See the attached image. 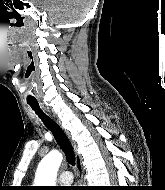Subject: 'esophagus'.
Here are the masks:
<instances>
[{
	"label": "esophagus",
	"mask_w": 165,
	"mask_h": 190,
	"mask_svg": "<svg viewBox=\"0 0 165 190\" xmlns=\"http://www.w3.org/2000/svg\"><path fill=\"white\" fill-rule=\"evenodd\" d=\"M76 165H77V172H78V180L80 183L83 181V167L81 157L76 153Z\"/></svg>",
	"instance_id": "esophagus-1"
}]
</instances>
